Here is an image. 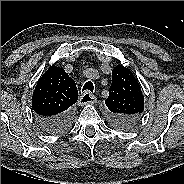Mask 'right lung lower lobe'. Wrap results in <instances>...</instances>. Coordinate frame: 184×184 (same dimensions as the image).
<instances>
[{"mask_svg": "<svg viewBox=\"0 0 184 184\" xmlns=\"http://www.w3.org/2000/svg\"><path fill=\"white\" fill-rule=\"evenodd\" d=\"M38 121L47 133L57 134L66 124L72 122L71 110L56 117L38 118Z\"/></svg>", "mask_w": 184, "mask_h": 184, "instance_id": "obj_1", "label": "right lung lower lobe"}]
</instances>
